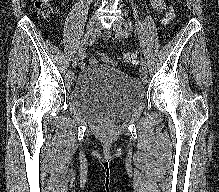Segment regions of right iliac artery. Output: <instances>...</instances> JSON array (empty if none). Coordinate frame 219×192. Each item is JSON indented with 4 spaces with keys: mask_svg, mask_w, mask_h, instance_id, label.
<instances>
[{
    "mask_svg": "<svg viewBox=\"0 0 219 192\" xmlns=\"http://www.w3.org/2000/svg\"><path fill=\"white\" fill-rule=\"evenodd\" d=\"M88 38H89V34L86 33L85 36H84V38H83V40L81 41V45H80V47H79V52L82 53V56H85V53H83V50H84L83 46L87 43Z\"/></svg>",
    "mask_w": 219,
    "mask_h": 192,
    "instance_id": "right-iliac-artery-1",
    "label": "right iliac artery"
}]
</instances>
